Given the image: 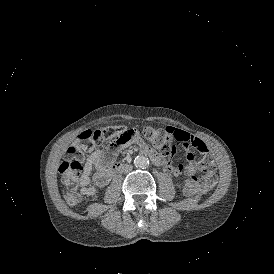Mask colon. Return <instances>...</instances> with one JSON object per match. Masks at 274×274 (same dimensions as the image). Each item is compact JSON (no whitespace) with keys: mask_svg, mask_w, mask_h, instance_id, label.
Masks as SVG:
<instances>
[{"mask_svg":"<svg viewBox=\"0 0 274 274\" xmlns=\"http://www.w3.org/2000/svg\"><path fill=\"white\" fill-rule=\"evenodd\" d=\"M145 138L150 141L162 154L170 153L176 147L175 135H167L166 127L157 128L146 126L143 129ZM103 137L116 147L127 145L129 140H137V131H128L123 127H112L93 132L83 131L77 135V143L67 150V158L59 165V171L64 179L65 201L70 206H75L80 201L77 182L83 170V150L94 146L96 140ZM93 143V144H92ZM207 192L199 178L192 179L187 183V193L190 195L203 194Z\"/></svg>","mask_w":274,"mask_h":274,"instance_id":"obj_1","label":"colon"}]
</instances>
